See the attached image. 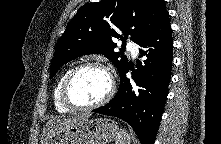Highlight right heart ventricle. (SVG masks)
<instances>
[{"label": "right heart ventricle", "mask_w": 221, "mask_h": 144, "mask_svg": "<svg viewBox=\"0 0 221 144\" xmlns=\"http://www.w3.org/2000/svg\"><path fill=\"white\" fill-rule=\"evenodd\" d=\"M71 71V68H68L67 70H65L61 76L59 77L55 87H54V91H53V103H54V107L55 109L60 112V113H69L71 112L69 109H67L61 102L60 99V90H61V85L65 79V77L67 76V74Z\"/></svg>", "instance_id": "1"}]
</instances>
